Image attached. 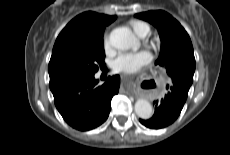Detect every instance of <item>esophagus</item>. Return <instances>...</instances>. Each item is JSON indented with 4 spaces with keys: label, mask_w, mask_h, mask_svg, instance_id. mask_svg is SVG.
I'll list each match as a JSON object with an SVG mask.
<instances>
[{
    "label": "esophagus",
    "mask_w": 230,
    "mask_h": 155,
    "mask_svg": "<svg viewBox=\"0 0 230 155\" xmlns=\"http://www.w3.org/2000/svg\"><path fill=\"white\" fill-rule=\"evenodd\" d=\"M122 81L124 82L125 85H129V86L130 85H134V82L129 81L128 78H127V76H125V75L122 76Z\"/></svg>",
    "instance_id": "obj_1"
}]
</instances>
